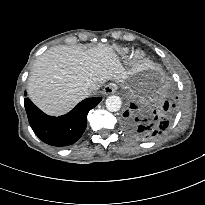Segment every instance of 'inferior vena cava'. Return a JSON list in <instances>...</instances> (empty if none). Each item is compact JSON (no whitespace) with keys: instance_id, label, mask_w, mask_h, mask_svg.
<instances>
[{"instance_id":"inferior-vena-cava-1","label":"inferior vena cava","mask_w":205,"mask_h":205,"mask_svg":"<svg viewBox=\"0 0 205 205\" xmlns=\"http://www.w3.org/2000/svg\"><path fill=\"white\" fill-rule=\"evenodd\" d=\"M92 92H93V90H92V89H90V90H89V94H90V93H92Z\"/></svg>"}]
</instances>
